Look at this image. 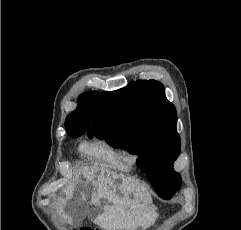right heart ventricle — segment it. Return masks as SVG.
<instances>
[{
	"label": "right heart ventricle",
	"instance_id": "right-heart-ventricle-1",
	"mask_svg": "<svg viewBox=\"0 0 241 230\" xmlns=\"http://www.w3.org/2000/svg\"><path fill=\"white\" fill-rule=\"evenodd\" d=\"M80 149L93 161L121 170L129 169V165L124 159V150L104 138H96L85 142Z\"/></svg>",
	"mask_w": 241,
	"mask_h": 230
}]
</instances>
